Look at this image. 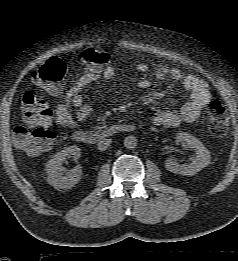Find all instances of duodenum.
I'll return each mask as SVG.
<instances>
[{"label":"duodenum","mask_w":238,"mask_h":261,"mask_svg":"<svg viewBox=\"0 0 238 261\" xmlns=\"http://www.w3.org/2000/svg\"><path fill=\"white\" fill-rule=\"evenodd\" d=\"M134 130V126L128 123H121L109 126L99 131L79 130L73 134V138L85 145H95L98 142L110 138L118 133H129Z\"/></svg>","instance_id":"duodenum-1"}]
</instances>
